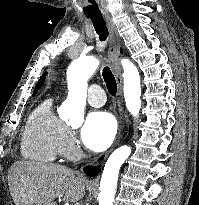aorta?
<instances>
[{
  "label": "aorta",
  "instance_id": "obj_1",
  "mask_svg": "<svg viewBox=\"0 0 199 205\" xmlns=\"http://www.w3.org/2000/svg\"><path fill=\"white\" fill-rule=\"evenodd\" d=\"M123 66L124 98L128 111L137 116L141 108L140 75L137 67L128 59L121 61ZM99 61L86 56L73 60L67 70L68 97L63 103L71 125L81 124L84 119V106L87 97V81L96 71ZM131 148L121 146L108 158L100 183L99 205H113L120 167L130 156Z\"/></svg>",
  "mask_w": 199,
  "mask_h": 205
}]
</instances>
